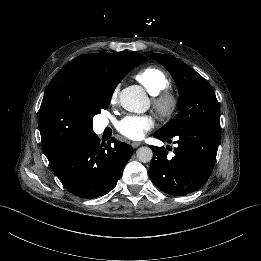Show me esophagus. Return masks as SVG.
I'll list each match as a JSON object with an SVG mask.
<instances>
[{
    "instance_id": "esophagus-1",
    "label": "esophagus",
    "mask_w": 261,
    "mask_h": 261,
    "mask_svg": "<svg viewBox=\"0 0 261 261\" xmlns=\"http://www.w3.org/2000/svg\"><path fill=\"white\" fill-rule=\"evenodd\" d=\"M131 145L133 148H137L141 145V142H132Z\"/></svg>"
}]
</instances>
